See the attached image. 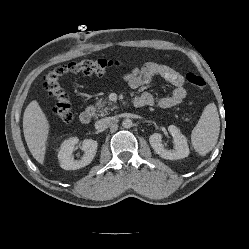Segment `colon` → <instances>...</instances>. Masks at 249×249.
<instances>
[{
	"mask_svg": "<svg viewBox=\"0 0 249 249\" xmlns=\"http://www.w3.org/2000/svg\"><path fill=\"white\" fill-rule=\"evenodd\" d=\"M119 66L120 63L117 61L85 59L70 62L49 71L44 78V88L55 101L53 109L55 117L64 122H69L73 118V103L60 83V79L63 76L69 74L102 75L110 69ZM186 79L192 86L198 89L202 90L206 87L205 80L194 73H188Z\"/></svg>",
	"mask_w": 249,
	"mask_h": 249,
	"instance_id": "1",
	"label": "colon"
}]
</instances>
